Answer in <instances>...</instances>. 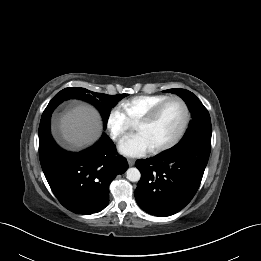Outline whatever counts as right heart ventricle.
Segmentation results:
<instances>
[{
    "label": "right heart ventricle",
    "instance_id": "obj_1",
    "mask_svg": "<svg viewBox=\"0 0 261 261\" xmlns=\"http://www.w3.org/2000/svg\"><path fill=\"white\" fill-rule=\"evenodd\" d=\"M168 97V95L164 94L135 96L123 101L121 108L128 120L132 124H136L151 109Z\"/></svg>",
    "mask_w": 261,
    "mask_h": 261
}]
</instances>
